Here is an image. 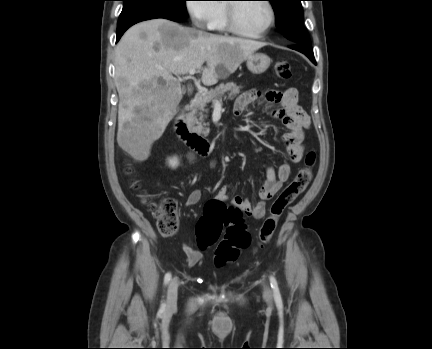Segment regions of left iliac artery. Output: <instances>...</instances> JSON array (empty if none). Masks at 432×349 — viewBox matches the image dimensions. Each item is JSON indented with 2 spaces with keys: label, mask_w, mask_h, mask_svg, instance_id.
<instances>
[{
  "label": "left iliac artery",
  "mask_w": 432,
  "mask_h": 349,
  "mask_svg": "<svg viewBox=\"0 0 432 349\" xmlns=\"http://www.w3.org/2000/svg\"><path fill=\"white\" fill-rule=\"evenodd\" d=\"M270 285L274 292V298L277 306L282 307V298L279 291L278 283L273 275H270Z\"/></svg>",
  "instance_id": "1"
}]
</instances>
